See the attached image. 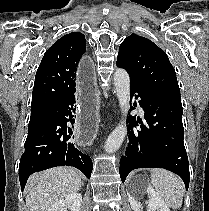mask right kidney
I'll return each mask as SVG.
<instances>
[{
	"instance_id": "obj_1",
	"label": "right kidney",
	"mask_w": 209,
	"mask_h": 211,
	"mask_svg": "<svg viewBox=\"0 0 209 211\" xmlns=\"http://www.w3.org/2000/svg\"><path fill=\"white\" fill-rule=\"evenodd\" d=\"M82 202V195L78 192H74L65 196V199L59 200L48 208L47 211H80Z\"/></svg>"
}]
</instances>
